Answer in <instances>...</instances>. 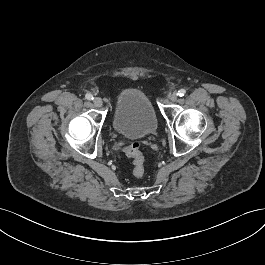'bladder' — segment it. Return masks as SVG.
I'll return each mask as SVG.
<instances>
[{
    "label": "bladder",
    "mask_w": 265,
    "mask_h": 265,
    "mask_svg": "<svg viewBox=\"0 0 265 265\" xmlns=\"http://www.w3.org/2000/svg\"><path fill=\"white\" fill-rule=\"evenodd\" d=\"M158 127L154 108L140 88H128L117 97L113 115L114 130L130 139L152 135Z\"/></svg>",
    "instance_id": "31cf9c89"
}]
</instances>
